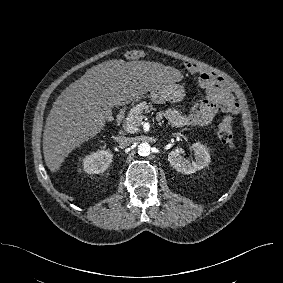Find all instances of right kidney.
<instances>
[{
  "label": "right kidney",
  "instance_id": "right-kidney-1",
  "mask_svg": "<svg viewBox=\"0 0 283 283\" xmlns=\"http://www.w3.org/2000/svg\"><path fill=\"white\" fill-rule=\"evenodd\" d=\"M113 154L108 150H98L83 159V170L88 174L103 173L111 164Z\"/></svg>",
  "mask_w": 283,
  "mask_h": 283
}]
</instances>
